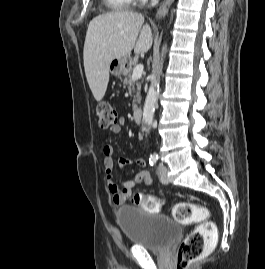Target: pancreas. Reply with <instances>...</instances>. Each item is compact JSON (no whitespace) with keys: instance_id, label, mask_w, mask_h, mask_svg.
<instances>
[{"instance_id":"pancreas-1","label":"pancreas","mask_w":265,"mask_h":269,"mask_svg":"<svg viewBox=\"0 0 265 269\" xmlns=\"http://www.w3.org/2000/svg\"><path fill=\"white\" fill-rule=\"evenodd\" d=\"M123 83H124L125 86L128 87L129 91L134 90L135 89L134 86L136 84L137 93L134 96V100H133V109H136L137 108V104L136 103H140V101H141V94H140L141 83L138 82L137 80H133L132 79L130 70L126 74V77L124 78Z\"/></svg>"}]
</instances>
